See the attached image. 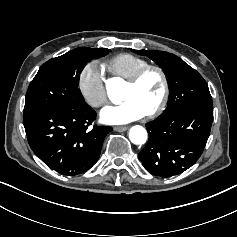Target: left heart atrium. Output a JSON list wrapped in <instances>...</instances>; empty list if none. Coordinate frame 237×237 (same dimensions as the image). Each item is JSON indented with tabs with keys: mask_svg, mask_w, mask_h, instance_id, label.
Masks as SVG:
<instances>
[{
	"mask_svg": "<svg viewBox=\"0 0 237 237\" xmlns=\"http://www.w3.org/2000/svg\"><path fill=\"white\" fill-rule=\"evenodd\" d=\"M143 116L145 113L130 100H124L117 105H108L100 113L102 122L108 125L126 124Z\"/></svg>",
	"mask_w": 237,
	"mask_h": 237,
	"instance_id": "left-heart-atrium-1",
	"label": "left heart atrium"
}]
</instances>
